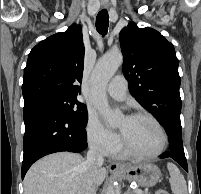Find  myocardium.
Returning a JSON list of instances; mask_svg holds the SVG:
<instances>
[{"instance_id": "f54148a6", "label": "myocardium", "mask_w": 201, "mask_h": 194, "mask_svg": "<svg viewBox=\"0 0 201 194\" xmlns=\"http://www.w3.org/2000/svg\"><path fill=\"white\" fill-rule=\"evenodd\" d=\"M130 117L147 118L150 121H152L156 125V127L158 128V130L161 134L162 142H161L160 147L156 151L151 152V153H142V152H138V151L132 149L129 146V144L126 142L124 137L122 136L121 142H122V148H123L124 153L126 155L140 158V159H153V158L160 156L162 153H164V151L168 147L169 137H168L167 131L164 128V126L162 125V123L154 115H152L148 112H143V111L136 112V113L132 114Z\"/></svg>"}]
</instances>
